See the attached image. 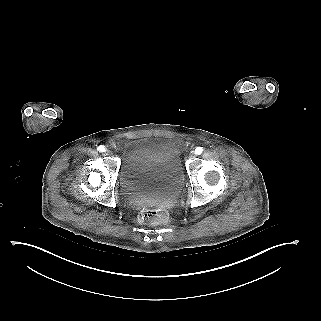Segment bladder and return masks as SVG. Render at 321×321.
<instances>
[{"label": "bladder", "instance_id": "1", "mask_svg": "<svg viewBox=\"0 0 321 321\" xmlns=\"http://www.w3.org/2000/svg\"><path fill=\"white\" fill-rule=\"evenodd\" d=\"M118 175L123 194L139 205L170 201L184 184L179 149L164 138L129 140L121 155Z\"/></svg>", "mask_w": 321, "mask_h": 321}]
</instances>
